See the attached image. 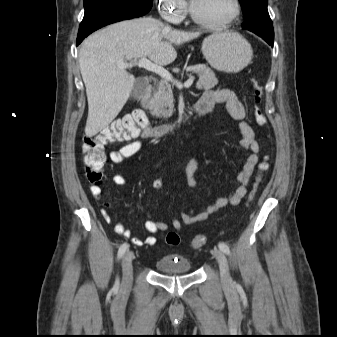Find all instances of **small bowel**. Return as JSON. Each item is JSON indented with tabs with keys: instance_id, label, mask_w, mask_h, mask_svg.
<instances>
[{
	"instance_id": "1",
	"label": "small bowel",
	"mask_w": 337,
	"mask_h": 337,
	"mask_svg": "<svg viewBox=\"0 0 337 337\" xmlns=\"http://www.w3.org/2000/svg\"><path fill=\"white\" fill-rule=\"evenodd\" d=\"M199 103H201L202 105H208L211 109L215 103H224L229 110L231 116L234 119L241 121L239 124V129L242 135L240 146L243 149L249 151L250 154L248 155L243 168L237 175L238 185L235 190L228 196H220L214 199L210 204L197 211L193 209L182 211L180 214L181 220L177 218H172L171 225L175 230L178 231L181 230L184 225H190L196 222L206 220L218 210L226 206L238 205L247 193L248 183L258 163V152L260 147L258 142L255 140L253 129L247 122L244 121V118L246 116V110L242 101L235 94V92L228 88L207 90L201 96ZM141 149L142 142L140 140L131 141L121 146L120 148L111 151L109 153V160L114 164L121 163L125 159L139 153ZM201 164L202 161L199 157H193L189 160L185 168V175L188 185L196 189L200 193L203 192V189L199 186L195 175ZM112 181L119 186L126 185L125 178L120 174H114L112 176ZM152 187L155 191L160 192L163 189V184L160 180H155L152 183ZM90 193L95 199H101L102 190L99 185H91ZM102 206L103 207L101 209V214L104 220L106 222H111L112 217L107 212V208L110 207V204L107 202H103ZM144 226L149 233L167 231L169 229V225L167 223L155 220L151 216H148V219L145 221ZM114 230L118 235H121L125 238H131L132 243L136 246H153L157 242V238L153 235H149L144 239L139 237H133L132 232L128 228H126L121 222H117L115 224Z\"/></svg>"
}]
</instances>
